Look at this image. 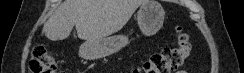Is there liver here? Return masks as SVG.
Wrapping results in <instances>:
<instances>
[{"label": "liver", "instance_id": "obj_1", "mask_svg": "<svg viewBox=\"0 0 244 73\" xmlns=\"http://www.w3.org/2000/svg\"><path fill=\"white\" fill-rule=\"evenodd\" d=\"M147 0H65L44 24L52 41L69 37L73 27L84 40H100L121 30Z\"/></svg>", "mask_w": 244, "mask_h": 73}]
</instances>
